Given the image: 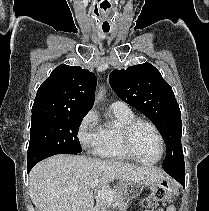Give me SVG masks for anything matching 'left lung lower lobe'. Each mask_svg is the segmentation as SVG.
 Listing matches in <instances>:
<instances>
[{"mask_svg": "<svg viewBox=\"0 0 209 211\" xmlns=\"http://www.w3.org/2000/svg\"><path fill=\"white\" fill-rule=\"evenodd\" d=\"M165 170V169H164ZM170 176L176 179L181 185L185 184V166L173 169V170H165Z\"/></svg>", "mask_w": 209, "mask_h": 211, "instance_id": "0a47b994", "label": "left lung lower lobe"}]
</instances>
